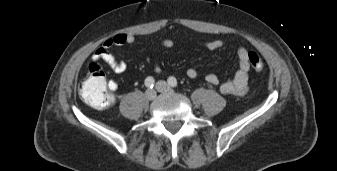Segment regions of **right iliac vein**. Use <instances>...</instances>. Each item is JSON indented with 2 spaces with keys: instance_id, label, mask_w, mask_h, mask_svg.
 <instances>
[{
  "instance_id": "63e3f726",
  "label": "right iliac vein",
  "mask_w": 337,
  "mask_h": 171,
  "mask_svg": "<svg viewBox=\"0 0 337 171\" xmlns=\"http://www.w3.org/2000/svg\"><path fill=\"white\" fill-rule=\"evenodd\" d=\"M156 91L154 89H149L145 92V97L147 100H154L156 98Z\"/></svg>"
}]
</instances>
